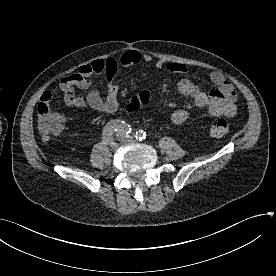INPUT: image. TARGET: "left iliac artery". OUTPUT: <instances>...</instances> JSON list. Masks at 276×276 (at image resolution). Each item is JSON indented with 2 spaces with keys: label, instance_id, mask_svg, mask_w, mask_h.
Wrapping results in <instances>:
<instances>
[{
  "label": "left iliac artery",
  "instance_id": "44dca946",
  "mask_svg": "<svg viewBox=\"0 0 276 276\" xmlns=\"http://www.w3.org/2000/svg\"><path fill=\"white\" fill-rule=\"evenodd\" d=\"M135 137L137 140L142 141L146 138V132L143 130H137L135 133Z\"/></svg>",
  "mask_w": 276,
  "mask_h": 276
}]
</instances>
